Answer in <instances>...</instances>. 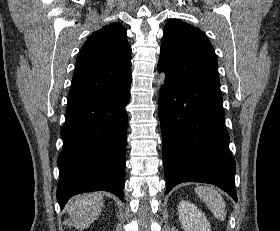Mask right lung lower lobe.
<instances>
[{
    "mask_svg": "<svg viewBox=\"0 0 280 231\" xmlns=\"http://www.w3.org/2000/svg\"><path fill=\"white\" fill-rule=\"evenodd\" d=\"M130 87L67 107L58 157L57 201L63 209L73 195L108 191L123 201Z\"/></svg>",
    "mask_w": 280,
    "mask_h": 231,
    "instance_id": "98d812e1",
    "label": "right lung lower lobe"
}]
</instances>
